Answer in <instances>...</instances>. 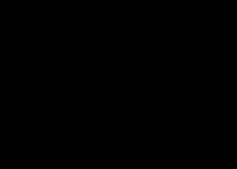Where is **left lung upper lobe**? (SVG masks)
I'll return each mask as SVG.
<instances>
[{"label": "left lung upper lobe", "mask_w": 237, "mask_h": 169, "mask_svg": "<svg viewBox=\"0 0 237 169\" xmlns=\"http://www.w3.org/2000/svg\"><path fill=\"white\" fill-rule=\"evenodd\" d=\"M128 39L145 58L147 77L153 88L152 102L191 116L195 106L196 72L186 51L155 32H133Z\"/></svg>", "instance_id": "left-lung-upper-lobe-1"}]
</instances>
